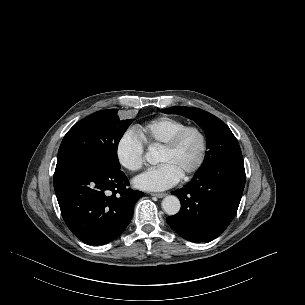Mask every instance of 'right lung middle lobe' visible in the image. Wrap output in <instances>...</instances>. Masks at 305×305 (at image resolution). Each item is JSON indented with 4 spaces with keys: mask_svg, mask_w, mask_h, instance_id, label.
<instances>
[{
    "mask_svg": "<svg viewBox=\"0 0 305 305\" xmlns=\"http://www.w3.org/2000/svg\"><path fill=\"white\" fill-rule=\"evenodd\" d=\"M117 112L98 111L76 123L62 140L56 167L91 163L120 170L118 143L133 120H120Z\"/></svg>",
    "mask_w": 305,
    "mask_h": 305,
    "instance_id": "right-lung-middle-lobe-1",
    "label": "right lung middle lobe"
}]
</instances>
